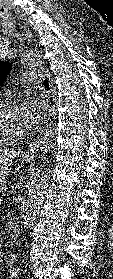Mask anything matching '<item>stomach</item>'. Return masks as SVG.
Instances as JSON below:
<instances>
[{"mask_svg": "<svg viewBox=\"0 0 113 279\" xmlns=\"http://www.w3.org/2000/svg\"><path fill=\"white\" fill-rule=\"evenodd\" d=\"M23 161L30 163L33 160V157L23 155ZM11 163L0 164V183L7 176L10 171Z\"/></svg>", "mask_w": 113, "mask_h": 279, "instance_id": "obj_1", "label": "stomach"}]
</instances>
